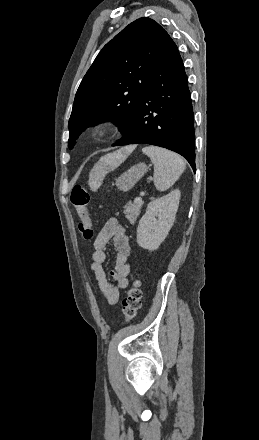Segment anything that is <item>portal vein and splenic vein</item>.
I'll list each match as a JSON object with an SVG mask.
<instances>
[{
  "label": "portal vein and splenic vein",
  "mask_w": 259,
  "mask_h": 440,
  "mask_svg": "<svg viewBox=\"0 0 259 440\" xmlns=\"http://www.w3.org/2000/svg\"><path fill=\"white\" fill-rule=\"evenodd\" d=\"M141 196H144V192H141V193H140V197L135 198V201H136V202H141V201H142Z\"/></svg>",
  "instance_id": "1"
}]
</instances>
